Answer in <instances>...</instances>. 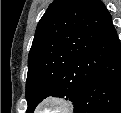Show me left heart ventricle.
Segmentation results:
<instances>
[{
	"label": "left heart ventricle",
	"instance_id": "left-heart-ventricle-1",
	"mask_svg": "<svg viewBox=\"0 0 121 113\" xmlns=\"http://www.w3.org/2000/svg\"><path fill=\"white\" fill-rule=\"evenodd\" d=\"M62 110V107L58 104L48 103L43 106L40 110L41 113H59Z\"/></svg>",
	"mask_w": 121,
	"mask_h": 113
}]
</instances>
